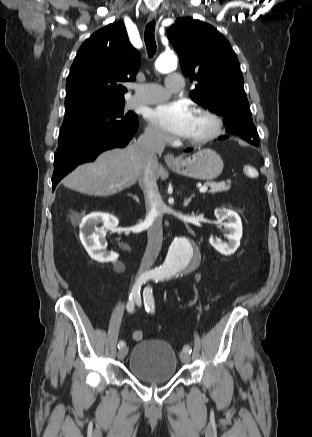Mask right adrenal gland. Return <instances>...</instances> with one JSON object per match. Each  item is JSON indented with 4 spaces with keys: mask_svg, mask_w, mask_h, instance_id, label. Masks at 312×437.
I'll return each mask as SVG.
<instances>
[{
    "mask_svg": "<svg viewBox=\"0 0 312 437\" xmlns=\"http://www.w3.org/2000/svg\"><path fill=\"white\" fill-rule=\"evenodd\" d=\"M129 196H131L137 203H139V198L136 195L133 194H128Z\"/></svg>",
    "mask_w": 312,
    "mask_h": 437,
    "instance_id": "2a0ac1e0",
    "label": "right adrenal gland"
}]
</instances>
